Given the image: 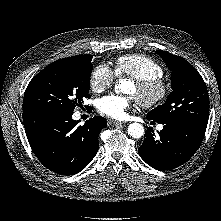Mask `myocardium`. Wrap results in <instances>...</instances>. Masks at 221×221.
<instances>
[{"label": "myocardium", "instance_id": "f54148a6", "mask_svg": "<svg viewBox=\"0 0 221 221\" xmlns=\"http://www.w3.org/2000/svg\"><path fill=\"white\" fill-rule=\"evenodd\" d=\"M137 103L145 109H152L161 105L168 97L169 85L162 78L136 80Z\"/></svg>", "mask_w": 221, "mask_h": 221}]
</instances>
